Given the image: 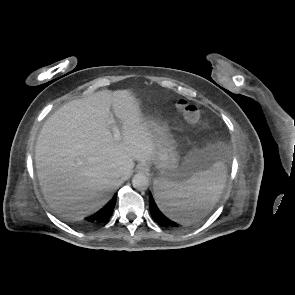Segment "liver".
Masks as SVG:
<instances>
[{
    "label": "liver",
    "mask_w": 295,
    "mask_h": 295,
    "mask_svg": "<svg viewBox=\"0 0 295 295\" xmlns=\"http://www.w3.org/2000/svg\"><path fill=\"white\" fill-rule=\"evenodd\" d=\"M111 107L121 124L119 141L109 124ZM154 152L133 92L102 90L68 102L45 122L35 147L37 177L54 210L81 217L109 201L130 177L134 160L150 162Z\"/></svg>",
    "instance_id": "liver-1"
}]
</instances>
